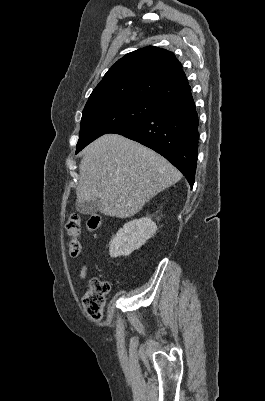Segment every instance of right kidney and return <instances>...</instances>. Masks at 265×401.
Wrapping results in <instances>:
<instances>
[{"instance_id": "1", "label": "right kidney", "mask_w": 265, "mask_h": 401, "mask_svg": "<svg viewBox=\"0 0 265 401\" xmlns=\"http://www.w3.org/2000/svg\"><path fill=\"white\" fill-rule=\"evenodd\" d=\"M156 231V223H153L149 217L134 219V221L125 223L123 229H119L110 243V257L131 255L133 251L142 247L150 237H153Z\"/></svg>"}]
</instances>
